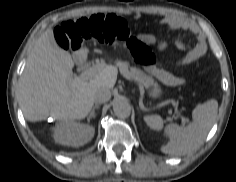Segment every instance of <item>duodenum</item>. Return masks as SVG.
<instances>
[{"mask_svg":"<svg viewBox=\"0 0 236 182\" xmlns=\"http://www.w3.org/2000/svg\"><path fill=\"white\" fill-rule=\"evenodd\" d=\"M83 54H84V51H81V52L77 55V61H78V63H79V65H80L81 68H85V66H86V63L83 62V60H82Z\"/></svg>","mask_w":236,"mask_h":182,"instance_id":"obj_1","label":"duodenum"}]
</instances>
